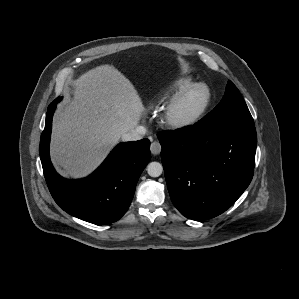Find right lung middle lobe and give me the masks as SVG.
Wrapping results in <instances>:
<instances>
[{
  "label": "right lung middle lobe",
  "mask_w": 299,
  "mask_h": 299,
  "mask_svg": "<svg viewBox=\"0 0 299 299\" xmlns=\"http://www.w3.org/2000/svg\"><path fill=\"white\" fill-rule=\"evenodd\" d=\"M61 99H62V98H57L56 100H57V101H60Z\"/></svg>",
  "instance_id": "right-lung-middle-lobe-1"
}]
</instances>
